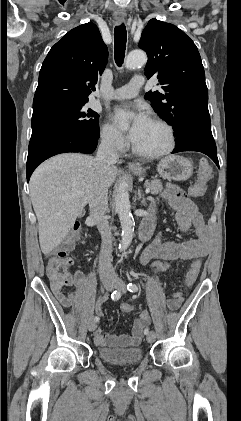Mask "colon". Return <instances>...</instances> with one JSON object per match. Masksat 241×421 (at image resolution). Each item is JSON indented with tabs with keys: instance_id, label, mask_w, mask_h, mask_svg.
<instances>
[{
	"instance_id": "colon-1",
	"label": "colon",
	"mask_w": 241,
	"mask_h": 421,
	"mask_svg": "<svg viewBox=\"0 0 241 421\" xmlns=\"http://www.w3.org/2000/svg\"><path fill=\"white\" fill-rule=\"evenodd\" d=\"M212 178V168L207 160L202 159L198 168V179L190 188L189 195L192 197L203 196L206 192L207 185ZM80 236V225L76 223L70 231L66 240L56 250L52 251L47 258L46 273L52 282V286L59 288L69 285L73 282V277L69 273L68 268L72 264V260L67 256L70 250L77 242ZM170 269V263L163 259L154 260L150 265V270L154 275H161ZM200 270V263L195 261L184 278V288L190 287L197 279ZM133 303L131 301L124 302L120 309L122 313L128 314L133 311Z\"/></svg>"
}]
</instances>
